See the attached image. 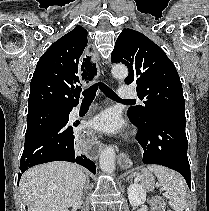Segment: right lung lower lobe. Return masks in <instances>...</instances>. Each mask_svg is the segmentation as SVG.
<instances>
[{
    "label": "right lung lower lobe",
    "instance_id": "obj_1",
    "mask_svg": "<svg viewBox=\"0 0 209 211\" xmlns=\"http://www.w3.org/2000/svg\"><path fill=\"white\" fill-rule=\"evenodd\" d=\"M73 107L69 108L68 115L63 120L52 125L24 146L18 182L22 173L28 168L51 161L75 162L86 167L93 174L96 173L95 164L86 156L79 155L74 150L75 135L73 128L78 126L79 121H69V113Z\"/></svg>",
    "mask_w": 209,
    "mask_h": 211
}]
</instances>
